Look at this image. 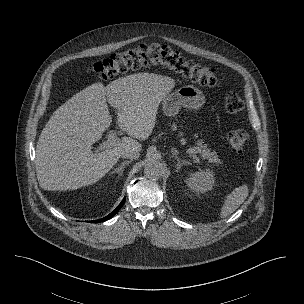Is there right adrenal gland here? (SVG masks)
Listing matches in <instances>:
<instances>
[{
	"instance_id": "2a0ac1e0",
	"label": "right adrenal gland",
	"mask_w": 304,
	"mask_h": 304,
	"mask_svg": "<svg viewBox=\"0 0 304 304\" xmlns=\"http://www.w3.org/2000/svg\"><path fill=\"white\" fill-rule=\"evenodd\" d=\"M132 160L122 162L118 168H115L111 173H118V176H121L126 165L131 163Z\"/></svg>"
}]
</instances>
